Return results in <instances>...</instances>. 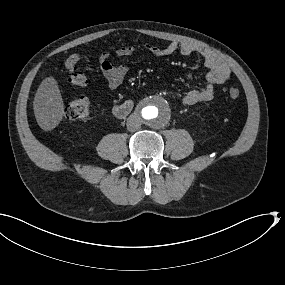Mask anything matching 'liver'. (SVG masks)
<instances>
[{
	"mask_svg": "<svg viewBox=\"0 0 285 285\" xmlns=\"http://www.w3.org/2000/svg\"><path fill=\"white\" fill-rule=\"evenodd\" d=\"M33 111L37 124L44 131L55 129L63 120L65 105L55 76L45 77L33 99Z\"/></svg>",
	"mask_w": 285,
	"mask_h": 285,
	"instance_id": "1",
	"label": "liver"
}]
</instances>
